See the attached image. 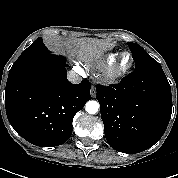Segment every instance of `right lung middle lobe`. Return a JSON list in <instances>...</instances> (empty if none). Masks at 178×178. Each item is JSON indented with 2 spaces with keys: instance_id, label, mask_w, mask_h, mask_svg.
<instances>
[{
  "instance_id": "right-lung-middle-lobe-1",
  "label": "right lung middle lobe",
  "mask_w": 178,
  "mask_h": 178,
  "mask_svg": "<svg viewBox=\"0 0 178 178\" xmlns=\"http://www.w3.org/2000/svg\"><path fill=\"white\" fill-rule=\"evenodd\" d=\"M42 53H49V51L42 43V39L38 38L37 41L33 42L32 45L26 48L21 55L42 54Z\"/></svg>"
}]
</instances>
